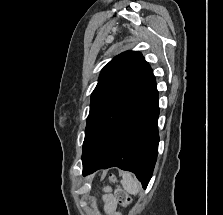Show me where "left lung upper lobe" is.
Instances as JSON below:
<instances>
[{"label":"left lung upper lobe","mask_w":223,"mask_h":215,"mask_svg":"<svg viewBox=\"0 0 223 215\" xmlns=\"http://www.w3.org/2000/svg\"><path fill=\"white\" fill-rule=\"evenodd\" d=\"M155 82L152 69L142 54L127 51L102 69L91 95L82 161L86 165L118 123Z\"/></svg>","instance_id":"obj_1"}]
</instances>
